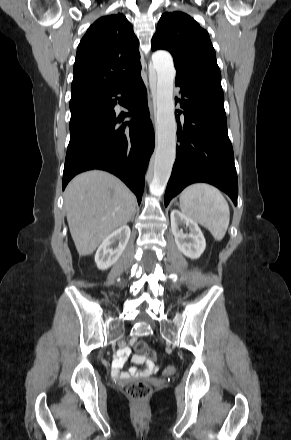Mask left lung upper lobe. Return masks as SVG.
<instances>
[{"instance_id": "left-lung-upper-lobe-1", "label": "left lung upper lobe", "mask_w": 291, "mask_h": 440, "mask_svg": "<svg viewBox=\"0 0 291 440\" xmlns=\"http://www.w3.org/2000/svg\"><path fill=\"white\" fill-rule=\"evenodd\" d=\"M168 50L176 68L175 82L224 96L215 50L206 30L182 12L164 13L152 38V50Z\"/></svg>"}]
</instances>
